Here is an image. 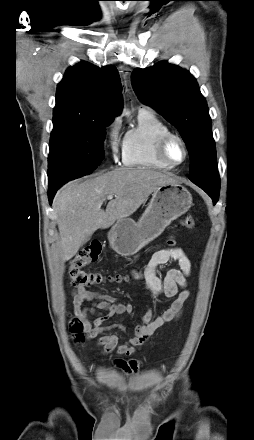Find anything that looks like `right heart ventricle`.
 Here are the masks:
<instances>
[{
    "label": "right heart ventricle",
    "instance_id": "obj_1",
    "mask_svg": "<svg viewBox=\"0 0 254 440\" xmlns=\"http://www.w3.org/2000/svg\"><path fill=\"white\" fill-rule=\"evenodd\" d=\"M170 132L169 127L150 110H140L138 123L125 134L122 148V163L125 167L171 170L155 153L158 138Z\"/></svg>",
    "mask_w": 254,
    "mask_h": 440
}]
</instances>
